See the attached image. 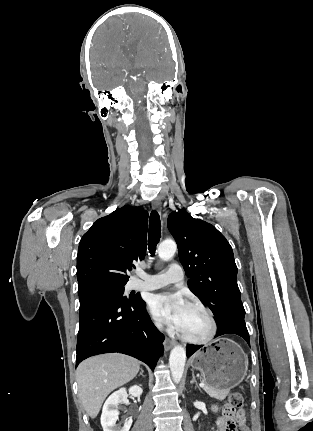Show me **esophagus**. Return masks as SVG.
Returning <instances> with one entry per match:
<instances>
[{
    "instance_id": "34e87169",
    "label": "esophagus",
    "mask_w": 313,
    "mask_h": 431,
    "mask_svg": "<svg viewBox=\"0 0 313 431\" xmlns=\"http://www.w3.org/2000/svg\"><path fill=\"white\" fill-rule=\"evenodd\" d=\"M152 208H153L154 210H157V211L161 210V202H160V200H159V199H154V200L152 201ZM174 345H175V341H173V340H171V339H169V338H166V339H165V341H164V346H165V348H166L167 350H170Z\"/></svg>"
}]
</instances>
